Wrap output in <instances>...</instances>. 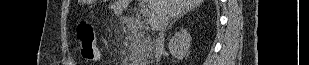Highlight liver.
Returning a JSON list of instances; mask_svg holds the SVG:
<instances>
[{
    "label": "liver",
    "mask_w": 309,
    "mask_h": 65,
    "mask_svg": "<svg viewBox=\"0 0 309 65\" xmlns=\"http://www.w3.org/2000/svg\"><path fill=\"white\" fill-rule=\"evenodd\" d=\"M204 0H144L149 8V24L152 30H159L162 23L170 18H176L197 8ZM109 9L121 15L127 9L130 0H113ZM88 3H91L88 2Z\"/></svg>",
    "instance_id": "6515ba94"
}]
</instances>
